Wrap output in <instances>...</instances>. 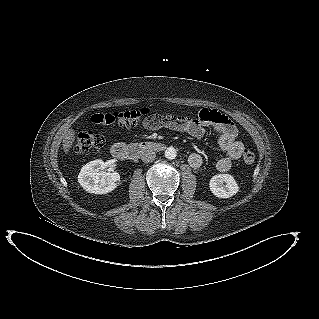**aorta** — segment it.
Instances as JSON below:
<instances>
[{"label":"aorta","mask_w":319,"mask_h":319,"mask_svg":"<svg viewBox=\"0 0 319 319\" xmlns=\"http://www.w3.org/2000/svg\"><path fill=\"white\" fill-rule=\"evenodd\" d=\"M177 156V152L176 150L173 148V147H168L166 150H165V157L167 159H175V157Z\"/></svg>","instance_id":"1"}]
</instances>
